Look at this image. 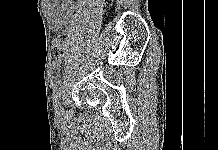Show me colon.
I'll use <instances>...</instances> for the list:
<instances>
[{
    "mask_svg": "<svg viewBox=\"0 0 218 150\" xmlns=\"http://www.w3.org/2000/svg\"><path fill=\"white\" fill-rule=\"evenodd\" d=\"M105 5H109L112 0H105ZM67 39L64 34L57 35L53 40V45L51 49L52 61L57 62L61 59L66 49Z\"/></svg>",
    "mask_w": 218,
    "mask_h": 150,
    "instance_id": "1",
    "label": "colon"
}]
</instances>
